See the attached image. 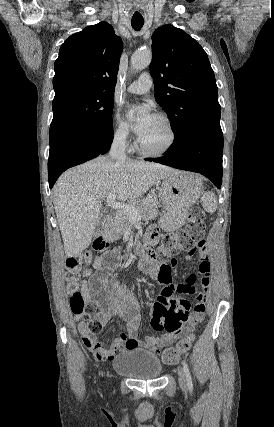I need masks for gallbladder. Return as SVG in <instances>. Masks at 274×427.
<instances>
[{
    "mask_svg": "<svg viewBox=\"0 0 274 427\" xmlns=\"http://www.w3.org/2000/svg\"><path fill=\"white\" fill-rule=\"evenodd\" d=\"M104 219H105V217H100L99 225H96V227L94 229V235H95V237H97V235H100V233H102Z\"/></svg>",
    "mask_w": 274,
    "mask_h": 427,
    "instance_id": "1",
    "label": "gallbladder"
}]
</instances>
